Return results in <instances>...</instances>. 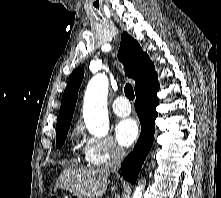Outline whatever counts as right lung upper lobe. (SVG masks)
<instances>
[{"instance_id":"obj_1","label":"right lung upper lobe","mask_w":221,"mask_h":198,"mask_svg":"<svg viewBox=\"0 0 221 198\" xmlns=\"http://www.w3.org/2000/svg\"><path fill=\"white\" fill-rule=\"evenodd\" d=\"M118 58L124 63L125 74L135 80V92L146 86L156 75L154 64L140 45L124 32L121 36ZM84 77L83 68H77L70 75L64 91L56 131L70 127L77 102V94Z\"/></svg>"}]
</instances>
